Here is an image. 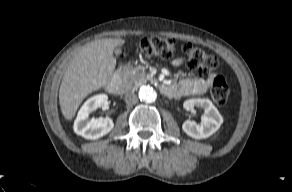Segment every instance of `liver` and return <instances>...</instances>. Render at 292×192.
<instances>
[{
  "label": "liver",
  "instance_id": "1",
  "mask_svg": "<svg viewBox=\"0 0 292 192\" xmlns=\"http://www.w3.org/2000/svg\"><path fill=\"white\" fill-rule=\"evenodd\" d=\"M124 39H100L84 45L72 59L64 73L59 103L63 116L72 120L83 99L106 86L116 67L113 56Z\"/></svg>",
  "mask_w": 292,
  "mask_h": 192
}]
</instances>
